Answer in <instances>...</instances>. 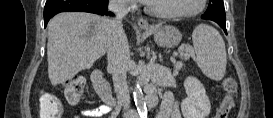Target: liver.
<instances>
[{"mask_svg":"<svg viewBox=\"0 0 273 118\" xmlns=\"http://www.w3.org/2000/svg\"><path fill=\"white\" fill-rule=\"evenodd\" d=\"M109 19L86 12H63L48 23L47 61L52 85L89 69L107 51Z\"/></svg>","mask_w":273,"mask_h":118,"instance_id":"1","label":"liver"}]
</instances>
